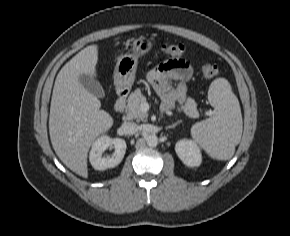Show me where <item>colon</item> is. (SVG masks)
Instances as JSON below:
<instances>
[{
	"instance_id": "5ec220e1",
	"label": "colon",
	"mask_w": 290,
	"mask_h": 236,
	"mask_svg": "<svg viewBox=\"0 0 290 236\" xmlns=\"http://www.w3.org/2000/svg\"><path fill=\"white\" fill-rule=\"evenodd\" d=\"M184 46L180 43L165 44L163 52L169 57H178L184 53ZM203 75L207 78H213L219 74V69L216 65L205 63L202 65Z\"/></svg>"
}]
</instances>
